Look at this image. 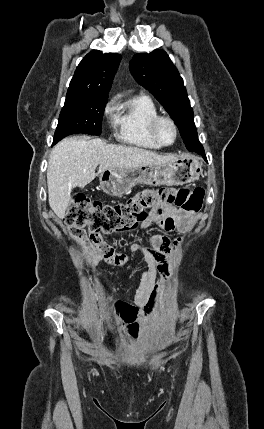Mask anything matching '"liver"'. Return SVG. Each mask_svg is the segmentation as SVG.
<instances>
[{
	"label": "liver",
	"mask_w": 264,
	"mask_h": 429,
	"mask_svg": "<svg viewBox=\"0 0 264 429\" xmlns=\"http://www.w3.org/2000/svg\"><path fill=\"white\" fill-rule=\"evenodd\" d=\"M177 158L174 154L159 155L142 148L107 144L95 138H65L52 150L48 169V200L59 218L65 212L75 187L84 188L98 173L110 169H133L146 165H162Z\"/></svg>",
	"instance_id": "liver-1"
}]
</instances>
